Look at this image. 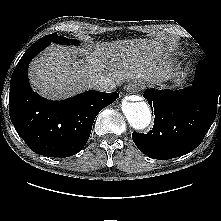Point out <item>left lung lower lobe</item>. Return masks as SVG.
I'll return each mask as SVG.
<instances>
[{
  "instance_id": "obj_1",
  "label": "left lung lower lobe",
  "mask_w": 221,
  "mask_h": 221,
  "mask_svg": "<svg viewBox=\"0 0 221 221\" xmlns=\"http://www.w3.org/2000/svg\"><path fill=\"white\" fill-rule=\"evenodd\" d=\"M154 108L155 124L147 134L133 132L132 139L145 155L166 160L194 150L211 127L221 104V69L207 59L196 67L192 86L183 90L144 92Z\"/></svg>"
}]
</instances>
